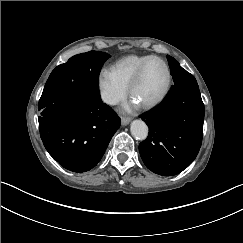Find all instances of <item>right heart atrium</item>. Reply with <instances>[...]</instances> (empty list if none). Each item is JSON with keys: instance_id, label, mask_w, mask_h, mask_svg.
<instances>
[{"instance_id": "right-heart-atrium-1", "label": "right heart atrium", "mask_w": 243, "mask_h": 243, "mask_svg": "<svg viewBox=\"0 0 243 243\" xmlns=\"http://www.w3.org/2000/svg\"><path fill=\"white\" fill-rule=\"evenodd\" d=\"M96 88L100 99L108 105L117 104L127 95V88L120 83L111 66L98 69Z\"/></svg>"}]
</instances>
